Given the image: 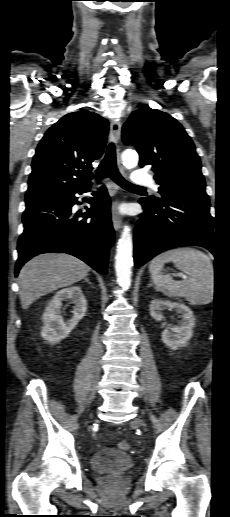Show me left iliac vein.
I'll list each match as a JSON object with an SVG mask.
<instances>
[{"mask_svg":"<svg viewBox=\"0 0 230 517\" xmlns=\"http://www.w3.org/2000/svg\"><path fill=\"white\" fill-rule=\"evenodd\" d=\"M135 422H136L137 424H139V425H143V421H142V419H141V418H137V419L135 420Z\"/></svg>","mask_w":230,"mask_h":517,"instance_id":"1","label":"left iliac vein"}]
</instances>
